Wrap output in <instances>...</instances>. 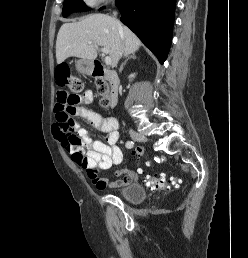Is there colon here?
I'll return each instance as SVG.
<instances>
[{
  "mask_svg": "<svg viewBox=\"0 0 248 258\" xmlns=\"http://www.w3.org/2000/svg\"><path fill=\"white\" fill-rule=\"evenodd\" d=\"M68 68L64 65L60 66V71L57 75V82L61 86L67 85L69 88V92H65L60 96L56 103V117H57V124L60 125V129L63 134H65L69 140L76 142L78 139L75 135V130L73 128V107L77 104L79 99V93L83 90V82L77 77H70L68 74ZM96 85L98 88V92L101 95V105L103 107H108L110 104L109 101V92L110 86L104 78L96 79ZM144 145L143 144H136L135 145V152L132 156L133 160H138L140 156L144 155ZM138 170L144 171L145 164L139 163ZM87 174L91 176H97V171L94 167L86 169ZM144 184L148 188L152 190L157 189H165L170 185H175V179H166L160 175H153V176H145Z\"/></svg>",
  "mask_w": 248,
  "mask_h": 258,
  "instance_id": "obj_1",
  "label": "colon"
}]
</instances>
